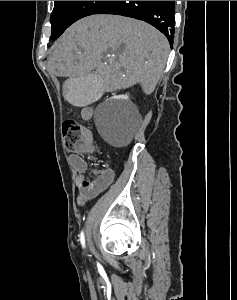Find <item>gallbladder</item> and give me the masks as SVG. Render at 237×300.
<instances>
[{"instance_id":"1","label":"gallbladder","mask_w":237,"mask_h":300,"mask_svg":"<svg viewBox=\"0 0 237 300\" xmlns=\"http://www.w3.org/2000/svg\"><path fill=\"white\" fill-rule=\"evenodd\" d=\"M104 77L99 72H88L87 76H69L65 82L64 99L68 105H94L100 94H105Z\"/></svg>"}]
</instances>
